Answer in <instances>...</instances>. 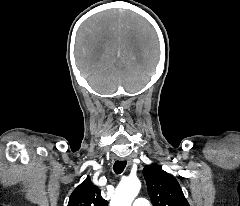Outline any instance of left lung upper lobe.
I'll return each mask as SVG.
<instances>
[{"label": "left lung upper lobe", "instance_id": "obj_1", "mask_svg": "<svg viewBox=\"0 0 240 206\" xmlns=\"http://www.w3.org/2000/svg\"><path fill=\"white\" fill-rule=\"evenodd\" d=\"M143 174L154 206H189L175 177L158 164L146 165Z\"/></svg>", "mask_w": 240, "mask_h": 206}]
</instances>
